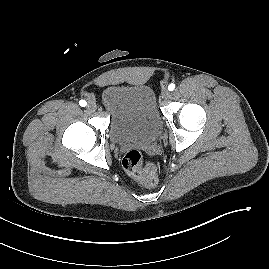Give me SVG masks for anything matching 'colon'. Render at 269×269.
I'll return each mask as SVG.
<instances>
[{"mask_svg": "<svg viewBox=\"0 0 269 269\" xmlns=\"http://www.w3.org/2000/svg\"><path fill=\"white\" fill-rule=\"evenodd\" d=\"M122 165L129 175L140 180L146 186H152L157 181L156 164L152 161L144 162L139 150L128 151L122 160Z\"/></svg>", "mask_w": 269, "mask_h": 269, "instance_id": "5ec220e1", "label": "colon"}]
</instances>
